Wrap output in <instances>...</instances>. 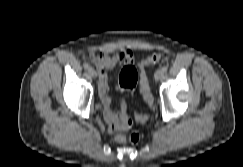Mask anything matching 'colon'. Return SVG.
<instances>
[{
  "label": "colon",
  "mask_w": 243,
  "mask_h": 167,
  "mask_svg": "<svg viewBox=\"0 0 243 167\" xmlns=\"http://www.w3.org/2000/svg\"><path fill=\"white\" fill-rule=\"evenodd\" d=\"M162 55L160 53H152L148 57L143 58L138 61L137 66L141 71L140 74V92L142 94L143 99L147 103L148 107L153 106V94L151 92L148 77L146 74V68L150 65L157 64L161 61ZM138 83V73L136 69L131 65H125L119 74V85L122 89L128 90L130 92L134 91ZM148 119L147 114L138 115L137 120L139 122H145ZM132 125V120L126 116L125 114H122L119 120L115 123H113L109 129L111 133L114 136V139L117 142H132L135 143L139 140V132L133 131L128 136L123 134V131L130 128Z\"/></svg>",
  "instance_id": "5ec220e1"
}]
</instances>
